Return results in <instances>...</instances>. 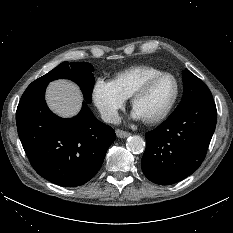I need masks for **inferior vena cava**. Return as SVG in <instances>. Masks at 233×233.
Wrapping results in <instances>:
<instances>
[{
	"label": "inferior vena cava",
	"mask_w": 233,
	"mask_h": 233,
	"mask_svg": "<svg viewBox=\"0 0 233 233\" xmlns=\"http://www.w3.org/2000/svg\"><path fill=\"white\" fill-rule=\"evenodd\" d=\"M101 118L104 122L107 123L118 124L120 122V117L117 114L110 111H102Z\"/></svg>",
	"instance_id": "obj_1"
}]
</instances>
